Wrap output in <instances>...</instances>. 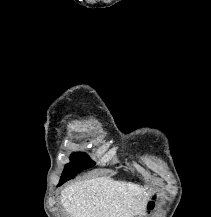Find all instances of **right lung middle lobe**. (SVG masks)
Returning a JSON list of instances; mask_svg holds the SVG:
<instances>
[{
	"label": "right lung middle lobe",
	"instance_id": "1",
	"mask_svg": "<svg viewBox=\"0 0 211 217\" xmlns=\"http://www.w3.org/2000/svg\"><path fill=\"white\" fill-rule=\"evenodd\" d=\"M92 166H94V162L91 161L85 153H73L70 156V163L64 168L60 181L66 182L74 178L78 172Z\"/></svg>",
	"mask_w": 211,
	"mask_h": 217
}]
</instances>
